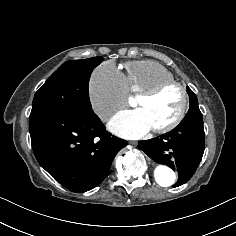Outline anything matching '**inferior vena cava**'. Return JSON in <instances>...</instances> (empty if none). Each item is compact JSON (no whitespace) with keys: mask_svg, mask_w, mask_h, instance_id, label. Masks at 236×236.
<instances>
[{"mask_svg":"<svg viewBox=\"0 0 236 236\" xmlns=\"http://www.w3.org/2000/svg\"><path fill=\"white\" fill-rule=\"evenodd\" d=\"M97 114L102 118V119H107L108 117L111 116L112 114V109L110 107H104L101 110L97 111Z\"/></svg>","mask_w":236,"mask_h":236,"instance_id":"inferior-vena-cava-1","label":"inferior vena cava"}]
</instances>
